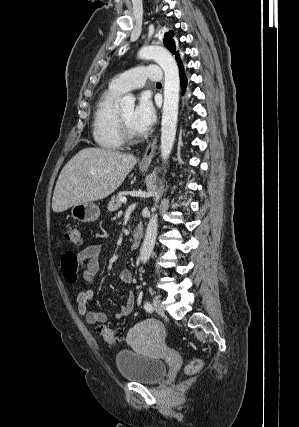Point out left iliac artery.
Segmentation results:
<instances>
[{
  "label": "left iliac artery",
  "instance_id": "1",
  "mask_svg": "<svg viewBox=\"0 0 299 427\" xmlns=\"http://www.w3.org/2000/svg\"><path fill=\"white\" fill-rule=\"evenodd\" d=\"M144 308L147 312H152L153 310L152 305L149 302L144 303Z\"/></svg>",
  "mask_w": 299,
  "mask_h": 427
}]
</instances>
